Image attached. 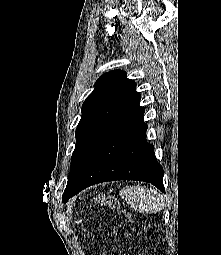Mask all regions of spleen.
<instances>
[{
	"mask_svg": "<svg viewBox=\"0 0 221 255\" xmlns=\"http://www.w3.org/2000/svg\"><path fill=\"white\" fill-rule=\"evenodd\" d=\"M121 196L133 210L139 213L155 214L164 206L162 195L144 186H126L122 189Z\"/></svg>",
	"mask_w": 221,
	"mask_h": 255,
	"instance_id": "spleen-1",
	"label": "spleen"
}]
</instances>
